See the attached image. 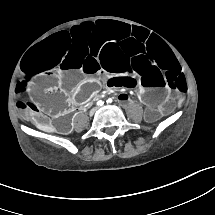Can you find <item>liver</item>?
Masks as SVG:
<instances>
[{"label": "liver", "instance_id": "1", "mask_svg": "<svg viewBox=\"0 0 215 215\" xmlns=\"http://www.w3.org/2000/svg\"><path fill=\"white\" fill-rule=\"evenodd\" d=\"M37 128L45 132H56V129L53 126H49V125L38 124Z\"/></svg>", "mask_w": 215, "mask_h": 215}]
</instances>
